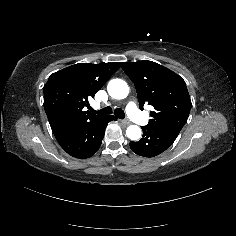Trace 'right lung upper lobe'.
I'll return each instance as SVG.
<instances>
[{"instance_id": "cb5924a9", "label": "right lung upper lobe", "mask_w": 236, "mask_h": 236, "mask_svg": "<svg viewBox=\"0 0 236 236\" xmlns=\"http://www.w3.org/2000/svg\"><path fill=\"white\" fill-rule=\"evenodd\" d=\"M119 66V63H80L49 77L43 88L44 109L54 134L101 117L85 111L84 107Z\"/></svg>"}]
</instances>
